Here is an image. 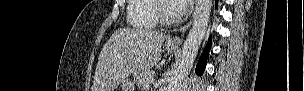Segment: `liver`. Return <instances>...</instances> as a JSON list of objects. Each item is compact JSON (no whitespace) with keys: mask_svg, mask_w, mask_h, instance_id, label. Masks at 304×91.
Segmentation results:
<instances>
[{"mask_svg":"<svg viewBox=\"0 0 304 91\" xmlns=\"http://www.w3.org/2000/svg\"><path fill=\"white\" fill-rule=\"evenodd\" d=\"M165 37L150 29L115 31L100 52L92 91H114L130 74L160 68Z\"/></svg>","mask_w":304,"mask_h":91,"instance_id":"obj_1","label":"liver"}]
</instances>
